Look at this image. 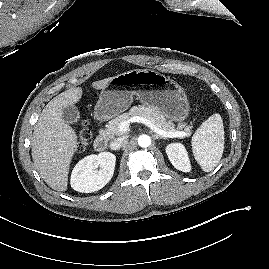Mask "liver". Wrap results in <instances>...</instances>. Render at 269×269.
<instances>
[{"instance_id": "1", "label": "liver", "mask_w": 269, "mask_h": 269, "mask_svg": "<svg viewBox=\"0 0 269 269\" xmlns=\"http://www.w3.org/2000/svg\"><path fill=\"white\" fill-rule=\"evenodd\" d=\"M113 77L92 83L96 90L107 87ZM81 87L70 88L54 97L43 109L33 131L32 158L40 176L49 187L67 190L70 163L77 150V135L64 122L63 109L79 102Z\"/></svg>"}]
</instances>
